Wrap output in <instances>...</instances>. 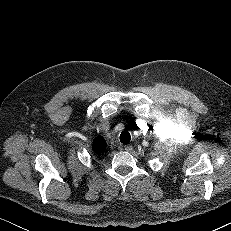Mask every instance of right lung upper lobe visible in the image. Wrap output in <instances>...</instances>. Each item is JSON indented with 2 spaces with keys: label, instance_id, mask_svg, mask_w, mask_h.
Listing matches in <instances>:
<instances>
[{
  "label": "right lung upper lobe",
  "instance_id": "obj_1",
  "mask_svg": "<svg viewBox=\"0 0 231 231\" xmlns=\"http://www.w3.org/2000/svg\"><path fill=\"white\" fill-rule=\"evenodd\" d=\"M106 149V142L103 137L98 136L93 142V151L102 153Z\"/></svg>",
  "mask_w": 231,
  "mask_h": 231
}]
</instances>
